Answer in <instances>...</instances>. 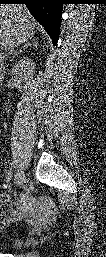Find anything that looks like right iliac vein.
Wrapping results in <instances>:
<instances>
[{
    "mask_svg": "<svg viewBox=\"0 0 106 257\" xmlns=\"http://www.w3.org/2000/svg\"><path fill=\"white\" fill-rule=\"evenodd\" d=\"M15 181L19 187H23L25 182V174L22 169H18L15 175Z\"/></svg>",
    "mask_w": 106,
    "mask_h": 257,
    "instance_id": "63e3f726",
    "label": "right iliac vein"
}]
</instances>
